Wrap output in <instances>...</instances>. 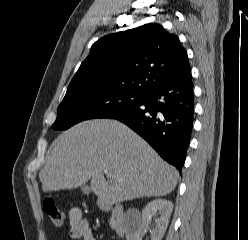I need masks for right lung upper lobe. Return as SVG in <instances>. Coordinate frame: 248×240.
Instances as JSON below:
<instances>
[{
    "instance_id": "1",
    "label": "right lung upper lobe",
    "mask_w": 248,
    "mask_h": 240,
    "mask_svg": "<svg viewBox=\"0 0 248 240\" xmlns=\"http://www.w3.org/2000/svg\"><path fill=\"white\" fill-rule=\"evenodd\" d=\"M190 71L179 38L159 24L149 23L94 43L67 90L103 88L145 94Z\"/></svg>"
}]
</instances>
